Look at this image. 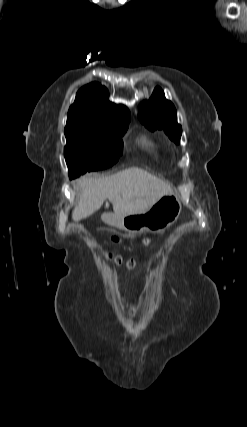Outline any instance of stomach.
Instances as JSON below:
<instances>
[{"instance_id": "obj_1", "label": "stomach", "mask_w": 247, "mask_h": 427, "mask_svg": "<svg viewBox=\"0 0 247 427\" xmlns=\"http://www.w3.org/2000/svg\"><path fill=\"white\" fill-rule=\"evenodd\" d=\"M181 209L182 206L179 198L171 193L162 196L144 212L126 216H117L114 213H108L102 215V220L110 226L127 232H159L177 221Z\"/></svg>"}]
</instances>
